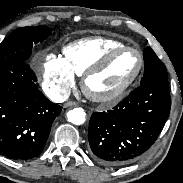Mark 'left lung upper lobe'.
<instances>
[{
    "instance_id": "left-lung-upper-lobe-1",
    "label": "left lung upper lobe",
    "mask_w": 183,
    "mask_h": 183,
    "mask_svg": "<svg viewBox=\"0 0 183 183\" xmlns=\"http://www.w3.org/2000/svg\"><path fill=\"white\" fill-rule=\"evenodd\" d=\"M144 61L145 72L141 80V85L153 83L168 84L165 66L151 47L145 49Z\"/></svg>"
}]
</instances>
